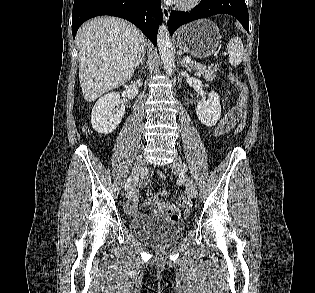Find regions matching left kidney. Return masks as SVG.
Wrapping results in <instances>:
<instances>
[{
	"instance_id": "5707ae66",
	"label": "left kidney",
	"mask_w": 315,
	"mask_h": 293,
	"mask_svg": "<svg viewBox=\"0 0 315 293\" xmlns=\"http://www.w3.org/2000/svg\"><path fill=\"white\" fill-rule=\"evenodd\" d=\"M196 114L205 126H214L221 116V105L219 95L212 91L207 100L198 103Z\"/></svg>"
}]
</instances>
